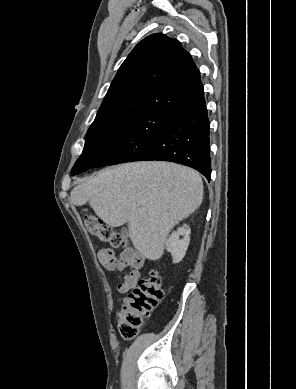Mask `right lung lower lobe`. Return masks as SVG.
Listing matches in <instances>:
<instances>
[{"instance_id": "1", "label": "right lung lower lobe", "mask_w": 296, "mask_h": 389, "mask_svg": "<svg viewBox=\"0 0 296 389\" xmlns=\"http://www.w3.org/2000/svg\"><path fill=\"white\" fill-rule=\"evenodd\" d=\"M210 121L206 103L176 116L166 130L144 151L138 161H170L201 172L208 181L211 174ZM93 168L81 165L71 175Z\"/></svg>"}]
</instances>
